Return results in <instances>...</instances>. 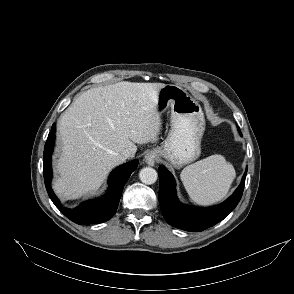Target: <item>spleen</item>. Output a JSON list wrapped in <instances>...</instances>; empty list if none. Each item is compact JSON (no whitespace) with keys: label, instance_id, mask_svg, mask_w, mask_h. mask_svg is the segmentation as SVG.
Instances as JSON below:
<instances>
[{"label":"spleen","instance_id":"3e777b00","mask_svg":"<svg viewBox=\"0 0 294 294\" xmlns=\"http://www.w3.org/2000/svg\"><path fill=\"white\" fill-rule=\"evenodd\" d=\"M235 176L232 164L219 154L186 166L180 174L188 195L199 205H210L222 200Z\"/></svg>","mask_w":294,"mask_h":294}]
</instances>
